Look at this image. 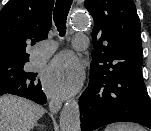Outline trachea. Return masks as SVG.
I'll use <instances>...</instances> for the list:
<instances>
[{
    "mask_svg": "<svg viewBox=\"0 0 151 131\" xmlns=\"http://www.w3.org/2000/svg\"><path fill=\"white\" fill-rule=\"evenodd\" d=\"M73 0H57L54 8L53 18L59 35L66 34V20Z\"/></svg>",
    "mask_w": 151,
    "mask_h": 131,
    "instance_id": "3493384b",
    "label": "trachea"
}]
</instances>
